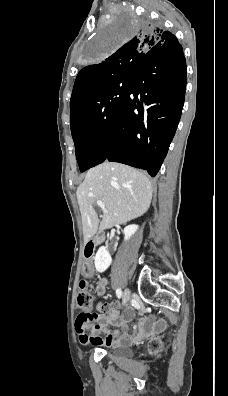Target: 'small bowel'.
Masks as SVG:
<instances>
[{"mask_svg": "<svg viewBox=\"0 0 228 396\" xmlns=\"http://www.w3.org/2000/svg\"><path fill=\"white\" fill-rule=\"evenodd\" d=\"M84 272L87 275L93 273V265L91 262L84 264ZM107 280L101 279L96 287L98 296L105 294ZM120 304L113 302L111 304H104L100 306V309L95 313V320L97 323L86 332L82 327L77 324V334L79 342L82 345H94V346H105L113 347L119 344L131 343L141 340L145 337L152 329L153 326L149 324L147 320H142L139 325L137 333L130 332L129 323L134 317V309L127 307L120 312ZM112 324L119 329L108 330L107 326ZM105 332V336L101 337L100 333Z\"/></svg>", "mask_w": 228, "mask_h": 396, "instance_id": "small-bowel-1", "label": "small bowel"}]
</instances>
